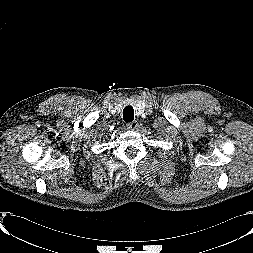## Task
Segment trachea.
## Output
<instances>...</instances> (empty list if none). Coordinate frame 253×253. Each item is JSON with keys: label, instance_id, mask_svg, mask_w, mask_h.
Instances as JSON below:
<instances>
[{"label": "trachea", "instance_id": "obj_1", "mask_svg": "<svg viewBox=\"0 0 253 253\" xmlns=\"http://www.w3.org/2000/svg\"><path fill=\"white\" fill-rule=\"evenodd\" d=\"M123 119L125 122H132L134 120V110L132 106H126L124 108Z\"/></svg>", "mask_w": 253, "mask_h": 253}]
</instances>
